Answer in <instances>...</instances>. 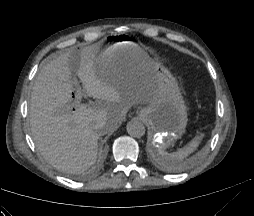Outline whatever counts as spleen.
Returning <instances> with one entry per match:
<instances>
[{
    "label": "spleen",
    "instance_id": "3e777b00",
    "mask_svg": "<svg viewBox=\"0 0 254 216\" xmlns=\"http://www.w3.org/2000/svg\"><path fill=\"white\" fill-rule=\"evenodd\" d=\"M201 140L202 135L196 136L186 146L173 153H168L165 150L157 148V158L165 166L175 168L181 160L191 154L198 147Z\"/></svg>",
    "mask_w": 254,
    "mask_h": 216
}]
</instances>
